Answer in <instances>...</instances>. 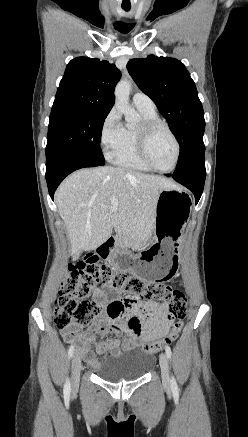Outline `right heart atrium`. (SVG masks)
<instances>
[{
  "mask_svg": "<svg viewBox=\"0 0 248 437\" xmlns=\"http://www.w3.org/2000/svg\"><path fill=\"white\" fill-rule=\"evenodd\" d=\"M124 127L118 111L113 108L105 116L100 129V145L109 159L113 158L123 140Z\"/></svg>",
  "mask_w": 248,
  "mask_h": 437,
  "instance_id": "right-heart-atrium-1",
  "label": "right heart atrium"
}]
</instances>
